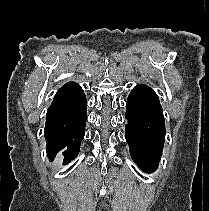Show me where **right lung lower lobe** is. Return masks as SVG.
<instances>
[{
  "mask_svg": "<svg viewBox=\"0 0 209 211\" xmlns=\"http://www.w3.org/2000/svg\"><path fill=\"white\" fill-rule=\"evenodd\" d=\"M86 120L87 100L82 88L75 82L66 83L55 94L46 114L44 134L51 162L63 155V164H67L78 155Z\"/></svg>",
  "mask_w": 209,
  "mask_h": 211,
  "instance_id": "obj_1",
  "label": "right lung lower lobe"
}]
</instances>
